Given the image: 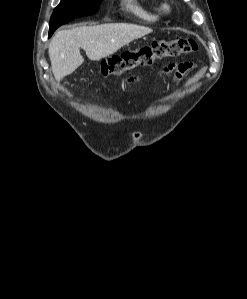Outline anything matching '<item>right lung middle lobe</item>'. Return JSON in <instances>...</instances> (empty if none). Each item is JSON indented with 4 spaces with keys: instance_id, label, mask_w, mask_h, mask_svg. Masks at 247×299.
<instances>
[{
    "instance_id": "right-lung-middle-lobe-1",
    "label": "right lung middle lobe",
    "mask_w": 247,
    "mask_h": 299,
    "mask_svg": "<svg viewBox=\"0 0 247 299\" xmlns=\"http://www.w3.org/2000/svg\"><path fill=\"white\" fill-rule=\"evenodd\" d=\"M102 0H61L50 19L49 37L61 25L96 13Z\"/></svg>"
}]
</instances>
